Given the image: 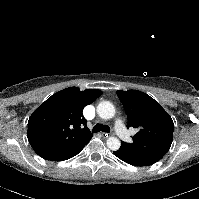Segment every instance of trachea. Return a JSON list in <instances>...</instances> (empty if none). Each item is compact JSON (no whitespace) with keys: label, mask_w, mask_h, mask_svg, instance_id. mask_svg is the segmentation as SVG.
<instances>
[{"label":"trachea","mask_w":199,"mask_h":199,"mask_svg":"<svg viewBox=\"0 0 199 199\" xmlns=\"http://www.w3.org/2000/svg\"><path fill=\"white\" fill-rule=\"evenodd\" d=\"M93 133H97V132H109L110 131V127L107 126V125H103V124H96L94 127H93Z\"/></svg>","instance_id":"1"}]
</instances>
